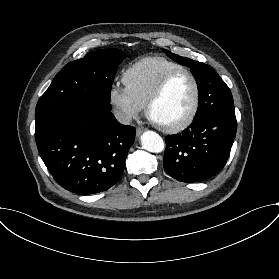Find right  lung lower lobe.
I'll list each match as a JSON object with an SVG mask.
<instances>
[{"label": "right lung lower lobe", "instance_id": "obj_1", "mask_svg": "<svg viewBox=\"0 0 279 279\" xmlns=\"http://www.w3.org/2000/svg\"><path fill=\"white\" fill-rule=\"evenodd\" d=\"M36 116L35 138L47 169L79 195L108 190L120 179L135 128L88 101L50 106Z\"/></svg>", "mask_w": 279, "mask_h": 279}]
</instances>
